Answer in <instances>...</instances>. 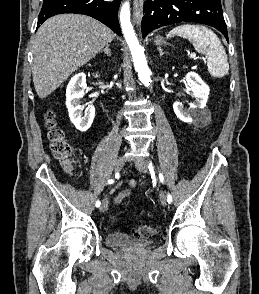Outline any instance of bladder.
Instances as JSON below:
<instances>
[{
    "label": "bladder",
    "instance_id": "1",
    "mask_svg": "<svg viewBox=\"0 0 259 294\" xmlns=\"http://www.w3.org/2000/svg\"><path fill=\"white\" fill-rule=\"evenodd\" d=\"M105 241L108 246L126 249H138L145 247L151 243V241L148 239L133 237L122 232L108 233L106 235Z\"/></svg>",
    "mask_w": 259,
    "mask_h": 294
}]
</instances>
